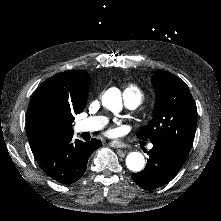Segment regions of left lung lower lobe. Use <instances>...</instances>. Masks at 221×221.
I'll return each mask as SVG.
<instances>
[{"mask_svg":"<svg viewBox=\"0 0 221 221\" xmlns=\"http://www.w3.org/2000/svg\"><path fill=\"white\" fill-rule=\"evenodd\" d=\"M152 144L145 169L132 174L133 181L146 190H153L168 183L187 158L164 142L152 141Z\"/></svg>","mask_w":221,"mask_h":221,"instance_id":"1","label":"left lung lower lobe"}]
</instances>
